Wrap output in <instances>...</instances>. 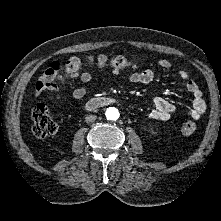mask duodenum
Wrapping results in <instances>:
<instances>
[{
    "instance_id": "duodenum-1",
    "label": "duodenum",
    "mask_w": 221,
    "mask_h": 221,
    "mask_svg": "<svg viewBox=\"0 0 221 221\" xmlns=\"http://www.w3.org/2000/svg\"><path fill=\"white\" fill-rule=\"evenodd\" d=\"M116 99L109 98V97H98V98H92L86 102V109L91 110L95 108H99L105 105H108L110 103L115 102Z\"/></svg>"
}]
</instances>
